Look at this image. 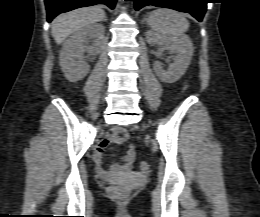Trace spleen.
Masks as SVG:
<instances>
[{
  "instance_id": "spleen-1",
  "label": "spleen",
  "mask_w": 260,
  "mask_h": 217,
  "mask_svg": "<svg viewBox=\"0 0 260 217\" xmlns=\"http://www.w3.org/2000/svg\"><path fill=\"white\" fill-rule=\"evenodd\" d=\"M150 27L160 35H181L189 28L186 17L171 9H157L148 19Z\"/></svg>"
}]
</instances>
